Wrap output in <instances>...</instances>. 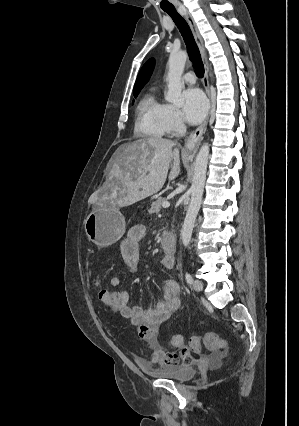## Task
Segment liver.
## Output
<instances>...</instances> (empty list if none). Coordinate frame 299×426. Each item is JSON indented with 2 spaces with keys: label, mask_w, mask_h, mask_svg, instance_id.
<instances>
[{
  "label": "liver",
  "mask_w": 299,
  "mask_h": 426,
  "mask_svg": "<svg viewBox=\"0 0 299 426\" xmlns=\"http://www.w3.org/2000/svg\"><path fill=\"white\" fill-rule=\"evenodd\" d=\"M175 146V142L161 137L139 139L120 146L106 188L111 192L109 198L121 206H128L160 191L170 165L169 180L180 173L179 148Z\"/></svg>",
  "instance_id": "obj_1"
}]
</instances>
